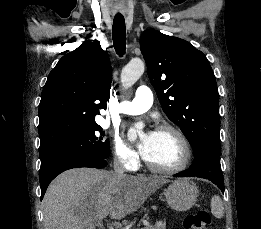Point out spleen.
<instances>
[{"mask_svg": "<svg viewBox=\"0 0 261 229\" xmlns=\"http://www.w3.org/2000/svg\"><path fill=\"white\" fill-rule=\"evenodd\" d=\"M211 213L216 217V219H221V217H224V207L222 203V199L220 197H212L211 199Z\"/></svg>", "mask_w": 261, "mask_h": 229, "instance_id": "3e777b00", "label": "spleen"}]
</instances>
